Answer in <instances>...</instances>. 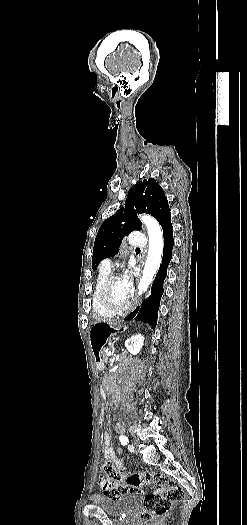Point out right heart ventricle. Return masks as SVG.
<instances>
[{
    "instance_id": "1",
    "label": "right heart ventricle",
    "mask_w": 247,
    "mask_h": 525,
    "mask_svg": "<svg viewBox=\"0 0 247 525\" xmlns=\"http://www.w3.org/2000/svg\"><path fill=\"white\" fill-rule=\"evenodd\" d=\"M111 274L109 262L104 260L101 264L100 271L96 280V286L92 293V311L94 317H112V313L106 311L101 306V300L98 295L99 286L108 278Z\"/></svg>"
}]
</instances>
